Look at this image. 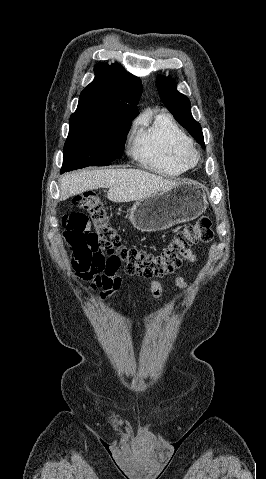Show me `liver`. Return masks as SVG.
Returning a JSON list of instances; mask_svg holds the SVG:
<instances>
[{
    "mask_svg": "<svg viewBox=\"0 0 266 479\" xmlns=\"http://www.w3.org/2000/svg\"><path fill=\"white\" fill-rule=\"evenodd\" d=\"M179 183L137 169L84 170L60 178V200L85 191L108 188L107 198L112 202L138 201Z\"/></svg>",
    "mask_w": 266,
    "mask_h": 479,
    "instance_id": "obj_1",
    "label": "liver"
}]
</instances>
